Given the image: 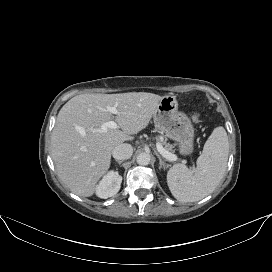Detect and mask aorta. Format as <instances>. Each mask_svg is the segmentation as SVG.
I'll return each mask as SVG.
<instances>
[{
	"label": "aorta",
	"instance_id": "obj_1",
	"mask_svg": "<svg viewBox=\"0 0 272 272\" xmlns=\"http://www.w3.org/2000/svg\"><path fill=\"white\" fill-rule=\"evenodd\" d=\"M150 160H151V156L149 153H140L138 156H137V163L139 165H142V166H146L150 163Z\"/></svg>",
	"mask_w": 272,
	"mask_h": 272
}]
</instances>
